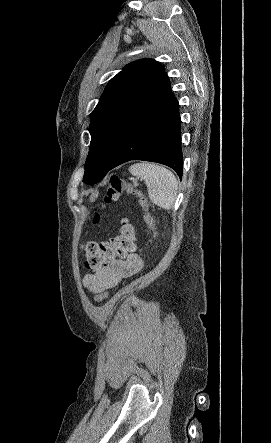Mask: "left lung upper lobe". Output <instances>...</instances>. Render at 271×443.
I'll return each instance as SVG.
<instances>
[{"instance_id":"left-lung-upper-lobe-1","label":"left lung upper lobe","mask_w":271,"mask_h":443,"mask_svg":"<svg viewBox=\"0 0 271 443\" xmlns=\"http://www.w3.org/2000/svg\"><path fill=\"white\" fill-rule=\"evenodd\" d=\"M164 71L159 62L141 59L126 65L109 81L91 114V144L83 182L93 185L108 173L126 128Z\"/></svg>"}]
</instances>
